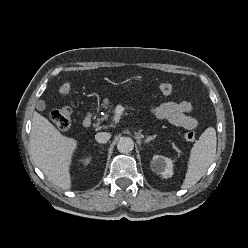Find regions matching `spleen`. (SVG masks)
I'll use <instances>...</instances> for the list:
<instances>
[{
	"label": "spleen",
	"instance_id": "3e777b00",
	"mask_svg": "<svg viewBox=\"0 0 248 248\" xmlns=\"http://www.w3.org/2000/svg\"><path fill=\"white\" fill-rule=\"evenodd\" d=\"M217 138L213 127L207 128L191 149L182 189L195 185L206 173L216 154Z\"/></svg>",
	"mask_w": 248,
	"mask_h": 248
}]
</instances>
